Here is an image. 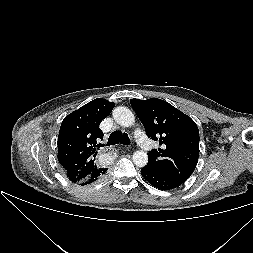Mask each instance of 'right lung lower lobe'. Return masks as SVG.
Listing matches in <instances>:
<instances>
[{
    "label": "right lung lower lobe",
    "mask_w": 253,
    "mask_h": 253,
    "mask_svg": "<svg viewBox=\"0 0 253 253\" xmlns=\"http://www.w3.org/2000/svg\"><path fill=\"white\" fill-rule=\"evenodd\" d=\"M107 169H101L95 173H93L90 178H88L87 180L81 182V183H77L79 185H88L91 184L93 182H96L97 180H99L106 172Z\"/></svg>",
    "instance_id": "right-lung-lower-lobe-1"
}]
</instances>
